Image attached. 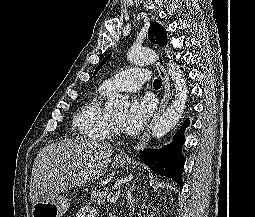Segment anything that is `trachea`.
Returning <instances> with one entry per match:
<instances>
[{"instance_id":"obj_1","label":"trachea","mask_w":255,"mask_h":217,"mask_svg":"<svg viewBox=\"0 0 255 217\" xmlns=\"http://www.w3.org/2000/svg\"><path fill=\"white\" fill-rule=\"evenodd\" d=\"M154 88H160L161 87V81L158 79H155L153 82Z\"/></svg>"}]
</instances>
